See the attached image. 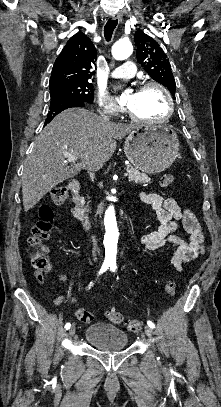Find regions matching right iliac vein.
Masks as SVG:
<instances>
[{
    "label": "right iliac vein",
    "mask_w": 221,
    "mask_h": 407,
    "mask_svg": "<svg viewBox=\"0 0 221 407\" xmlns=\"http://www.w3.org/2000/svg\"><path fill=\"white\" fill-rule=\"evenodd\" d=\"M76 328L75 325H72L68 331V334L70 337H72L75 334Z\"/></svg>",
    "instance_id": "1"
}]
</instances>
